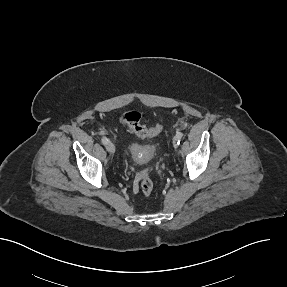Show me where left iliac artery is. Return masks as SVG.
<instances>
[{
	"instance_id": "44dca946",
	"label": "left iliac artery",
	"mask_w": 287,
	"mask_h": 287,
	"mask_svg": "<svg viewBox=\"0 0 287 287\" xmlns=\"http://www.w3.org/2000/svg\"><path fill=\"white\" fill-rule=\"evenodd\" d=\"M176 137H177V141H178V144H179V143H180V140H181L182 137H183V133L177 132Z\"/></svg>"
}]
</instances>
